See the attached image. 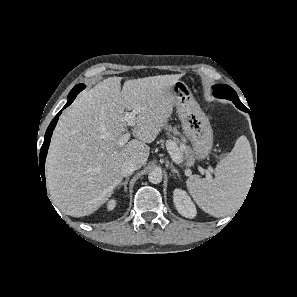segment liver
Masks as SVG:
<instances>
[{
    "instance_id": "liver-1",
    "label": "liver",
    "mask_w": 297,
    "mask_h": 297,
    "mask_svg": "<svg viewBox=\"0 0 297 297\" xmlns=\"http://www.w3.org/2000/svg\"><path fill=\"white\" fill-rule=\"evenodd\" d=\"M181 75L127 80L109 77L82 93L65 111L53 133L46 159V182L52 203L73 217L92 214L121 183V166L142 167L150 147L173 112L171 85ZM138 112L135 139L120 146L128 130L126 112Z\"/></svg>"
}]
</instances>
